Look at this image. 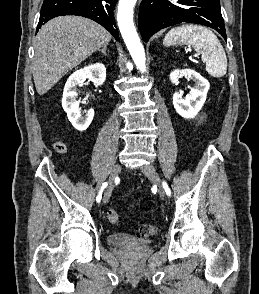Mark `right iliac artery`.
I'll use <instances>...</instances> for the list:
<instances>
[{"mask_svg":"<svg viewBox=\"0 0 259 294\" xmlns=\"http://www.w3.org/2000/svg\"><path fill=\"white\" fill-rule=\"evenodd\" d=\"M107 185H108V184H107L106 182L103 183V185H102V187H101V189H100V191H99V193H98V195H97V197H96V201H97V202H100V201H101L102 193H103V191H104V188H106Z\"/></svg>","mask_w":259,"mask_h":294,"instance_id":"obj_1","label":"right iliac artery"}]
</instances>
